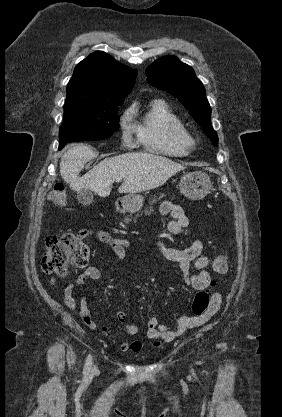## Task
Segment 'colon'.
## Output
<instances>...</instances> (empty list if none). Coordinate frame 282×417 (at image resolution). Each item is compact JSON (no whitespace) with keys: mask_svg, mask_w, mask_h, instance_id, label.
Wrapping results in <instances>:
<instances>
[{"mask_svg":"<svg viewBox=\"0 0 282 417\" xmlns=\"http://www.w3.org/2000/svg\"><path fill=\"white\" fill-rule=\"evenodd\" d=\"M49 198L55 207H63L66 204L65 188L61 184H55L49 190ZM46 255L41 261L42 270L45 273L56 275H67L72 269L81 268L87 265L89 249L87 245L72 236L70 233L52 235L45 241ZM213 269L218 273H224L229 269L227 255L220 254L213 259ZM215 283L211 282V286ZM214 305L211 290H201L194 298L192 312L195 316L203 315Z\"/></svg>","mask_w":282,"mask_h":417,"instance_id":"5ec220e1","label":"colon"}]
</instances>
